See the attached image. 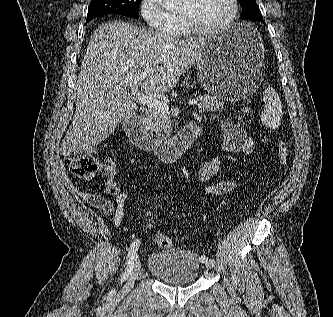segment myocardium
Wrapping results in <instances>:
<instances>
[{"label":"myocardium","mask_w":333,"mask_h":317,"mask_svg":"<svg viewBox=\"0 0 333 317\" xmlns=\"http://www.w3.org/2000/svg\"><path fill=\"white\" fill-rule=\"evenodd\" d=\"M230 2L232 5L230 14L223 22H221L220 24L214 25V26H210V27L200 26L198 23H196L194 21V19L189 14H186V13H179V16H180L181 20L183 21L184 25L186 26V28L191 33H194L197 35L215 34V33L221 32V31L227 29L228 27H230L238 15V12H239L238 0H230Z\"/></svg>","instance_id":"myocardium-1"}]
</instances>
